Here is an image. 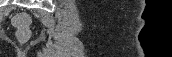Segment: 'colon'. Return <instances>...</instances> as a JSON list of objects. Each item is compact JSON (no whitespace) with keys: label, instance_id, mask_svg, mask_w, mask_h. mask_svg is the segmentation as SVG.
Instances as JSON below:
<instances>
[{"label":"colon","instance_id":"5ec220e1","mask_svg":"<svg viewBox=\"0 0 172 57\" xmlns=\"http://www.w3.org/2000/svg\"><path fill=\"white\" fill-rule=\"evenodd\" d=\"M14 25L18 29L19 39L26 41L29 37V16L27 14H18L14 19Z\"/></svg>","mask_w":172,"mask_h":57}]
</instances>
